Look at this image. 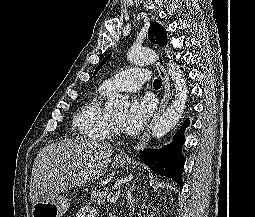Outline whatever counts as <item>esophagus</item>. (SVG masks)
<instances>
[{"label": "esophagus", "mask_w": 255, "mask_h": 217, "mask_svg": "<svg viewBox=\"0 0 255 217\" xmlns=\"http://www.w3.org/2000/svg\"><path fill=\"white\" fill-rule=\"evenodd\" d=\"M156 68H157V71H158L159 76L161 77L162 83H163V89H164L163 97L161 99L159 109L155 113L151 123L149 124L148 128L146 129V131L143 133V135L139 139L138 143L134 146L135 151L142 150L148 144L153 123L160 117V115L165 110V108L169 102L170 95H171L170 80H169V76H168L166 70L159 62L156 63ZM122 157L124 158V156H122Z\"/></svg>", "instance_id": "34e87169"}]
</instances>
